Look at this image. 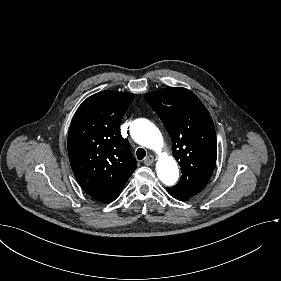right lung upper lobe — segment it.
I'll use <instances>...</instances> for the list:
<instances>
[{
    "label": "right lung upper lobe",
    "mask_w": 281,
    "mask_h": 281,
    "mask_svg": "<svg viewBox=\"0 0 281 281\" xmlns=\"http://www.w3.org/2000/svg\"><path fill=\"white\" fill-rule=\"evenodd\" d=\"M134 96L103 91L77 109L68 133V155L83 189L100 202L122 189L133 174L136 160L121 136L122 117Z\"/></svg>",
    "instance_id": "right-lung-upper-lobe-1"
}]
</instances>
